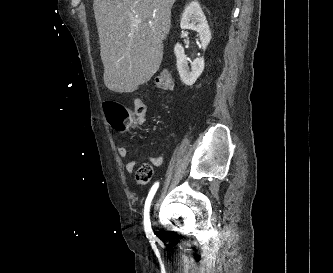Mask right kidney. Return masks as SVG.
I'll return each instance as SVG.
<instances>
[{"instance_id": "right-kidney-1", "label": "right kidney", "mask_w": 333, "mask_h": 273, "mask_svg": "<svg viewBox=\"0 0 333 273\" xmlns=\"http://www.w3.org/2000/svg\"><path fill=\"white\" fill-rule=\"evenodd\" d=\"M181 29H189L199 34L202 48L205 50L211 40V32L206 17L197 1H192L186 6L180 22ZM177 59V70L181 81L192 86L204 70V59L197 58L191 63V71L188 66L189 59L184 53V48L177 43L174 47Z\"/></svg>"}]
</instances>
